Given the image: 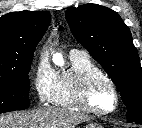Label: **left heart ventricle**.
Here are the masks:
<instances>
[{"label":"left heart ventricle","mask_w":142,"mask_h":128,"mask_svg":"<svg viewBox=\"0 0 142 128\" xmlns=\"http://www.w3.org/2000/svg\"><path fill=\"white\" fill-rule=\"evenodd\" d=\"M93 103L100 109H110L113 106L114 99L109 87L102 83L100 84L93 95Z\"/></svg>","instance_id":"left-heart-ventricle-1"}]
</instances>
